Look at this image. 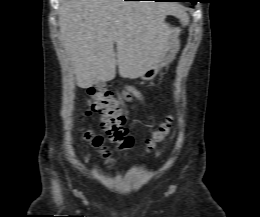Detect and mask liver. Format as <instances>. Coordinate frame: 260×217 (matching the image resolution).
Returning a JSON list of instances; mask_svg holds the SVG:
<instances>
[{
    "mask_svg": "<svg viewBox=\"0 0 260 217\" xmlns=\"http://www.w3.org/2000/svg\"><path fill=\"white\" fill-rule=\"evenodd\" d=\"M167 15L187 18L169 2L61 0L60 41L78 86L114 79L117 65L120 76L130 79L157 66L173 34L165 23Z\"/></svg>",
    "mask_w": 260,
    "mask_h": 217,
    "instance_id": "obj_1",
    "label": "liver"
}]
</instances>
